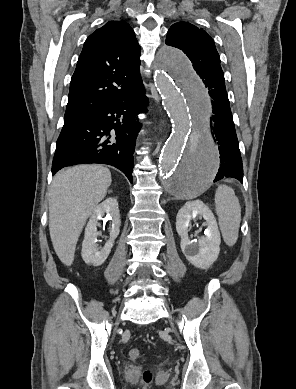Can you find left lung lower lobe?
<instances>
[{"instance_id":"1","label":"left lung lower lobe","mask_w":296,"mask_h":389,"mask_svg":"<svg viewBox=\"0 0 296 389\" xmlns=\"http://www.w3.org/2000/svg\"><path fill=\"white\" fill-rule=\"evenodd\" d=\"M202 80L212 98V112L209 117V129L218 142L220 168L214 182L231 177L243 183V164L239 143L235 131L228 95L224 83V74L213 77L202 75ZM188 176V161L183 168L182 178Z\"/></svg>"}]
</instances>
